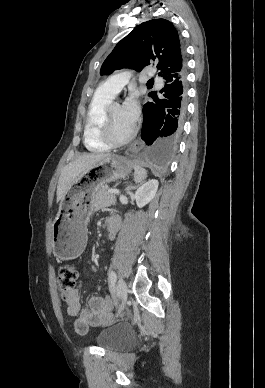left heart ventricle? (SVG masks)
<instances>
[{"label": "left heart ventricle", "instance_id": "1", "mask_svg": "<svg viewBox=\"0 0 265 388\" xmlns=\"http://www.w3.org/2000/svg\"><path fill=\"white\" fill-rule=\"evenodd\" d=\"M109 126L117 136L125 135L132 128V125L125 120L121 106L115 105L113 107L109 115Z\"/></svg>", "mask_w": 265, "mask_h": 388}]
</instances>
